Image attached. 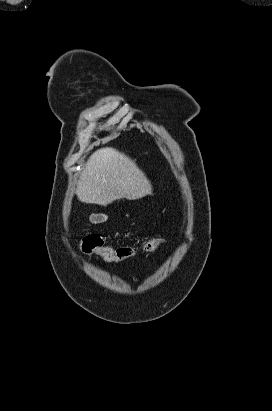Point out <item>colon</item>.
Here are the masks:
<instances>
[{
    "mask_svg": "<svg viewBox=\"0 0 272 411\" xmlns=\"http://www.w3.org/2000/svg\"><path fill=\"white\" fill-rule=\"evenodd\" d=\"M161 243L160 238L147 241L143 249L153 251ZM81 249L88 255H99L106 262L117 263L132 257L135 254V248L123 246L112 248L104 245V240L98 235H87L82 239Z\"/></svg>",
    "mask_w": 272,
    "mask_h": 411,
    "instance_id": "5ec220e1",
    "label": "colon"
}]
</instances>
